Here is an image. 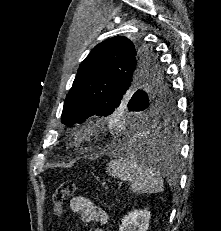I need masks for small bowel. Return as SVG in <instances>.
Returning <instances> with one entry per match:
<instances>
[{"label": "small bowel", "mask_w": 221, "mask_h": 231, "mask_svg": "<svg viewBox=\"0 0 221 231\" xmlns=\"http://www.w3.org/2000/svg\"><path fill=\"white\" fill-rule=\"evenodd\" d=\"M71 209L74 212L81 214V219L85 223L97 222L104 225L107 222L108 215L100 207L93 204V202L82 196H76L71 200ZM94 231H104L102 227H97Z\"/></svg>", "instance_id": "obj_1"}]
</instances>
